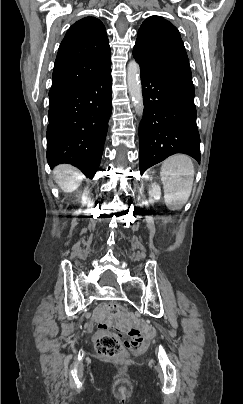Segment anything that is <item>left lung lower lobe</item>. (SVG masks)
Masks as SVG:
<instances>
[{"label":"left lung lower lobe","instance_id":"0a47b994","mask_svg":"<svg viewBox=\"0 0 243 404\" xmlns=\"http://www.w3.org/2000/svg\"><path fill=\"white\" fill-rule=\"evenodd\" d=\"M144 114L139 125L140 171L175 153L200 163L192 79L165 75L140 66Z\"/></svg>","mask_w":243,"mask_h":404}]
</instances>
